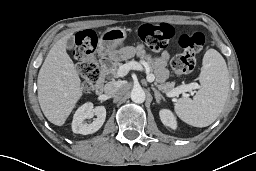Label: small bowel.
Here are the masks:
<instances>
[{"instance_id":"1","label":"small bowel","mask_w":256,"mask_h":171,"mask_svg":"<svg viewBox=\"0 0 256 171\" xmlns=\"http://www.w3.org/2000/svg\"><path fill=\"white\" fill-rule=\"evenodd\" d=\"M130 50L134 54H143L144 48L142 46L130 47ZM169 59V54L167 52H163L153 59V67L157 74V79L159 81H164L168 76V71L166 69V65Z\"/></svg>"}]
</instances>
